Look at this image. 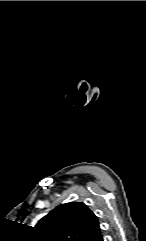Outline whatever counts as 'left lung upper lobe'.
Masks as SVG:
<instances>
[{
  "label": "left lung upper lobe",
  "mask_w": 146,
  "mask_h": 241,
  "mask_svg": "<svg viewBox=\"0 0 146 241\" xmlns=\"http://www.w3.org/2000/svg\"><path fill=\"white\" fill-rule=\"evenodd\" d=\"M40 241H85L100 230L94 213L81 202L61 204L35 226Z\"/></svg>",
  "instance_id": "obj_1"
}]
</instances>
